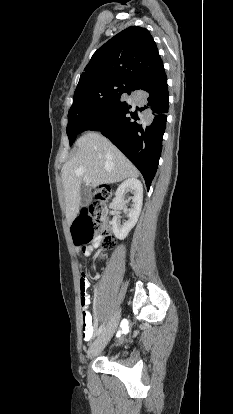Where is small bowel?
<instances>
[{"mask_svg":"<svg viewBox=\"0 0 233 414\" xmlns=\"http://www.w3.org/2000/svg\"><path fill=\"white\" fill-rule=\"evenodd\" d=\"M92 251V247H84L82 249V252L84 255L88 256L90 252ZM87 271L84 269H81L78 272V275L80 276L81 281L79 282V288L81 289V308H82V314H81V323H82V336L83 339L87 342L91 341L95 335V328L93 326V319L92 315L89 311V305L91 303L90 296L86 293V290L89 289L90 282L88 281L89 276L87 275Z\"/></svg>","mask_w":233,"mask_h":414,"instance_id":"c3829d8e","label":"small bowel"}]
</instances>
